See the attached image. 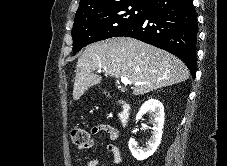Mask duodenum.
<instances>
[{
	"mask_svg": "<svg viewBox=\"0 0 227 166\" xmlns=\"http://www.w3.org/2000/svg\"><path fill=\"white\" fill-rule=\"evenodd\" d=\"M120 107L119 120L121 124L125 126L130 118V105L127 102L122 101L120 102Z\"/></svg>",
	"mask_w": 227,
	"mask_h": 166,
	"instance_id": "obj_1",
	"label": "duodenum"
}]
</instances>
